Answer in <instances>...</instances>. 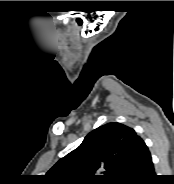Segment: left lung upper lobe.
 <instances>
[{
	"label": "left lung upper lobe",
	"instance_id": "1",
	"mask_svg": "<svg viewBox=\"0 0 174 184\" xmlns=\"http://www.w3.org/2000/svg\"><path fill=\"white\" fill-rule=\"evenodd\" d=\"M140 140L132 128L107 123L90 132L47 175L54 184H120Z\"/></svg>",
	"mask_w": 174,
	"mask_h": 184
}]
</instances>
